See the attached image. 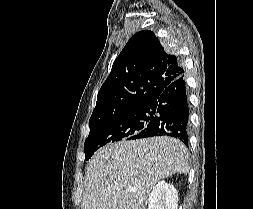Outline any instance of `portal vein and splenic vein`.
<instances>
[{
	"mask_svg": "<svg viewBox=\"0 0 253 209\" xmlns=\"http://www.w3.org/2000/svg\"><path fill=\"white\" fill-rule=\"evenodd\" d=\"M128 193H131V192H134L135 191V189H133V188H127V190H126Z\"/></svg>",
	"mask_w": 253,
	"mask_h": 209,
	"instance_id": "portal-vein-and-splenic-vein-1",
	"label": "portal vein and splenic vein"
}]
</instances>
